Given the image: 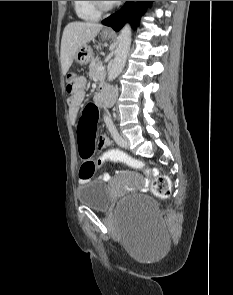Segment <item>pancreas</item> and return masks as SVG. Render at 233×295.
I'll list each match as a JSON object with an SVG mask.
<instances>
[{
    "label": "pancreas",
    "instance_id": "obj_1",
    "mask_svg": "<svg viewBox=\"0 0 233 295\" xmlns=\"http://www.w3.org/2000/svg\"><path fill=\"white\" fill-rule=\"evenodd\" d=\"M101 61L99 58H93L91 60V63L89 65V76L90 78L96 79L99 78L102 74H104V71H98V67L101 65Z\"/></svg>",
    "mask_w": 233,
    "mask_h": 295
}]
</instances>
